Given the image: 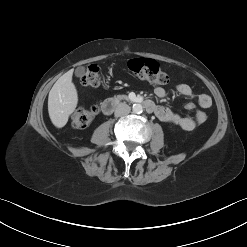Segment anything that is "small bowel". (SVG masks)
I'll use <instances>...</instances> for the list:
<instances>
[{
  "label": "small bowel",
  "mask_w": 247,
  "mask_h": 247,
  "mask_svg": "<svg viewBox=\"0 0 247 247\" xmlns=\"http://www.w3.org/2000/svg\"><path fill=\"white\" fill-rule=\"evenodd\" d=\"M176 90L179 94L189 97L197 98L198 104L201 108H209L212 104V99L208 94L195 95L191 86L185 83L177 85ZM154 93L158 98H164L166 96V90L163 87H156ZM154 114L163 122L172 123L179 126L185 131H191L198 125L203 123L206 119L204 112L198 111L194 117L180 116L174 113L172 110L165 106L155 105Z\"/></svg>",
  "instance_id": "small-bowel-1"
}]
</instances>
